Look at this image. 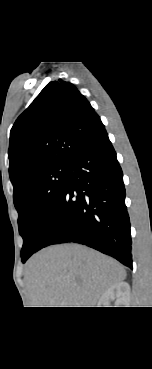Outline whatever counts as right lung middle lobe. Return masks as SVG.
Masks as SVG:
<instances>
[{
	"label": "right lung middle lobe",
	"mask_w": 152,
	"mask_h": 369,
	"mask_svg": "<svg viewBox=\"0 0 152 369\" xmlns=\"http://www.w3.org/2000/svg\"><path fill=\"white\" fill-rule=\"evenodd\" d=\"M68 164H59L33 174L25 186L13 195L18 211L19 232L24 243L25 262L40 244L44 231L67 183Z\"/></svg>",
	"instance_id": "obj_1"
}]
</instances>
